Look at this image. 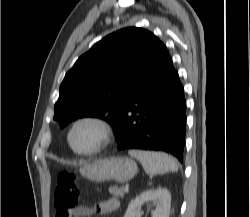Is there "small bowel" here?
<instances>
[{"label": "small bowel", "instance_id": "1", "mask_svg": "<svg viewBox=\"0 0 250 217\" xmlns=\"http://www.w3.org/2000/svg\"><path fill=\"white\" fill-rule=\"evenodd\" d=\"M119 200L116 198H110L106 201L98 203L94 209L80 206L73 210L72 216L70 217H90L93 213L98 214H110L119 208Z\"/></svg>", "mask_w": 250, "mask_h": 217}]
</instances>
